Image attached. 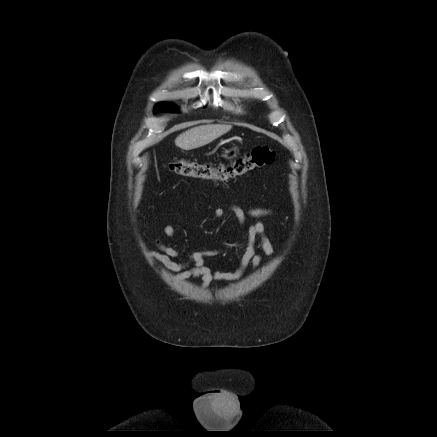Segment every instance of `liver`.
Returning a JSON list of instances; mask_svg holds the SVG:
<instances>
[{"label": "liver", "mask_w": 437, "mask_h": 437, "mask_svg": "<svg viewBox=\"0 0 437 437\" xmlns=\"http://www.w3.org/2000/svg\"><path fill=\"white\" fill-rule=\"evenodd\" d=\"M232 129L231 125L209 124L193 127L175 139L177 147L192 150L205 146Z\"/></svg>", "instance_id": "liver-1"}]
</instances>
